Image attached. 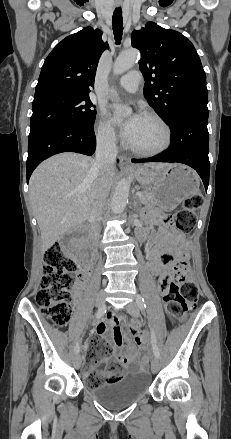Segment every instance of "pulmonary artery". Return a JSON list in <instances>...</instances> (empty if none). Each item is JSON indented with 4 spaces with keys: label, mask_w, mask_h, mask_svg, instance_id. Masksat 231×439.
I'll use <instances>...</instances> for the list:
<instances>
[{
    "label": "pulmonary artery",
    "mask_w": 231,
    "mask_h": 439,
    "mask_svg": "<svg viewBox=\"0 0 231 439\" xmlns=\"http://www.w3.org/2000/svg\"><path fill=\"white\" fill-rule=\"evenodd\" d=\"M141 82V74L138 71L129 72L120 77L118 83L120 87L129 91L136 92Z\"/></svg>",
    "instance_id": "e3ab8cb5"
}]
</instances>
